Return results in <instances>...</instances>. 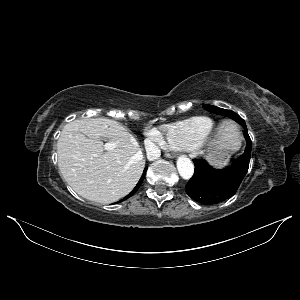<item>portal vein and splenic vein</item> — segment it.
Masks as SVG:
<instances>
[{
	"instance_id": "obj_1",
	"label": "portal vein and splenic vein",
	"mask_w": 300,
	"mask_h": 300,
	"mask_svg": "<svg viewBox=\"0 0 300 300\" xmlns=\"http://www.w3.org/2000/svg\"><path fill=\"white\" fill-rule=\"evenodd\" d=\"M116 147V144L113 142L105 143L104 150H113Z\"/></svg>"
}]
</instances>
